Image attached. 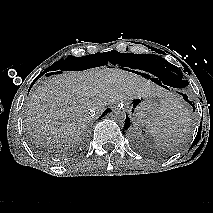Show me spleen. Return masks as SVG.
<instances>
[{"mask_svg":"<svg viewBox=\"0 0 213 213\" xmlns=\"http://www.w3.org/2000/svg\"><path fill=\"white\" fill-rule=\"evenodd\" d=\"M189 120V109L175 100L165 105V109L157 115L155 123L147 126V130L158 145L170 147L179 142L187 130Z\"/></svg>","mask_w":213,"mask_h":213,"instance_id":"3e777b00","label":"spleen"}]
</instances>
